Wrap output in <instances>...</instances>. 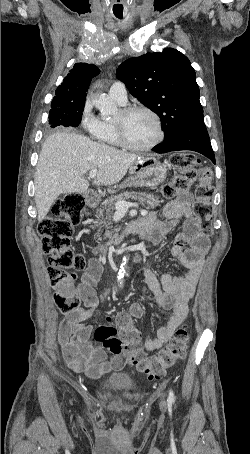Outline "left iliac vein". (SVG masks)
I'll use <instances>...</instances> for the list:
<instances>
[{"instance_id":"1","label":"left iliac vein","mask_w":250,"mask_h":454,"mask_svg":"<svg viewBox=\"0 0 250 454\" xmlns=\"http://www.w3.org/2000/svg\"><path fill=\"white\" fill-rule=\"evenodd\" d=\"M160 407H161L162 409H164V408H165V401H164V400H162V401H161V403H160Z\"/></svg>"}]
</instances>
